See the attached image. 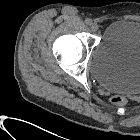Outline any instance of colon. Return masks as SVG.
Wrapping results in <instances>:
<instances>
[{"label":"colon","mask_w":140,"mask_h":140,"mask_svg":"<svg viewBox=\"0 0 140 140\" xmlns=\"http://www.w3.org/2000/svg\"><path fill=\"white\" fill-rule=\"evenodd\" d=\"M111 102L117 106H124L127 103V99L123 95L116 94L111 97Z\"/></svg>","instance_id":"1"}]
</instances>
